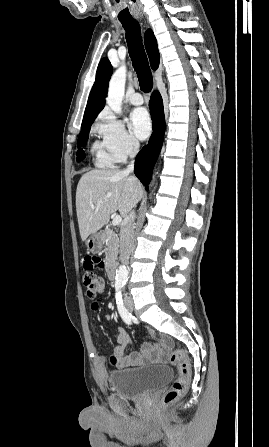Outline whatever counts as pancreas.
<instances>
[{"mask_svg":"<svg viewBox=\"0 0 269 447\" xmlns=\"http://www.w3.org/2000/svg\"><path fill=\"white\" fill-rule=\"evenodd\" d=\"M104 239H106V257H105V267L109 269L112 263H116L115 259L118 255V247H119V237L113 229H111V225H107L105 229H103Z\"/></svg>","mask_w":269,"mask_h":447,"instance_id":"1","label":"pancreas"}]
</instances>
